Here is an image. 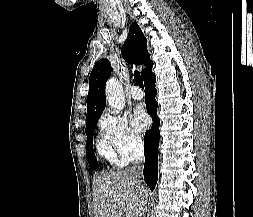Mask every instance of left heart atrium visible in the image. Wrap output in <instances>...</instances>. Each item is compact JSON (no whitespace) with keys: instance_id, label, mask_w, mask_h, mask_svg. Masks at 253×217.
<instances>
[{"instance_id":"1","label":"left heart atrium","mask_w":253,"mask_h":217,"mask_svg":"<svg viewBox=\"0 0 253 217\" xmlns=\"http://www.w3.org/2000/svg\"><path fill=\"white\" fill-rule=\"evenodd\" d=\"M131 121L133 126L139 131H144L150 124L149 116L141 106L135 108Z\"/></svg>"}]
</instances>
